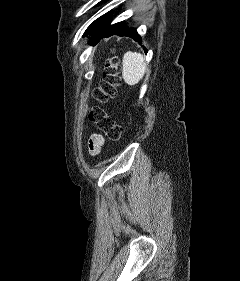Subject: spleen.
I'll return each instance as SVG.
<instances>
[{
	"instance_id": "1",
	"label": "spleen",
	"mask_w": 240,
	"mask_h": 281,
	"mask_svg": "<svg viewBox=\"0 0 240 281\" xmlns=\"http://www.w3.org/2000/svg\"><path fill=\"white\" fill-rule=\"evenodd\" d=\"M122 76L128 85H136L146 72V63L142 54L138 52H127L123 57Z\"/></svg>"
}]
</instances>
